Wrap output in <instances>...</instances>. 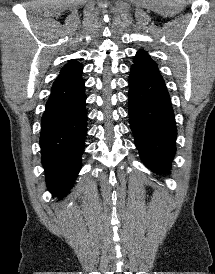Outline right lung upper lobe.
I'll return each mask as SVG.
<instances>
[{
    "label": "right lung upper lobe",
    "mask_w": 215,
    "mask_h": 274,
    "mask_svg": "<svg viewBox=\"0 0 215 274\" xmlns=\"http://www.w3.org/2000/svg\"><path fill=\"white\" fill-rule=\"evenodd\" d=\"M82 70L83 68L79 62L75 60L68 62L55 80L46 105L64 100L81 88L84 85L81 77Z\"/></svg>",
    "instance_id": "cb5924a9"
}]
</instances>
